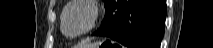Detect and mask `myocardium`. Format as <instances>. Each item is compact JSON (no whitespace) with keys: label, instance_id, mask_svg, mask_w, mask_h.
I'll return each instance as SVG.
<instances>
[{"label":"myocardium","instance_id":"myocardium-1","mask_svg":"<svg viewBox=\"0 0 213 48\" xmlns=\"http://www.w3.org/2000/svg\"><path fill=\"white\" fill-rule=\"evenodd\" d=\"M76 5H84V6L88 7L92 12V18H91L89 26L85 30H83L82 32L69 33L65 30V24H64L65 16H66L67 11L71 7L76 6ZM99 14H100L99 8L94 3V1H91V0H74V1H71V2L68 3V5L63 9V11L61 13V30L67 37H70V38L81 37V36L87 34L88 32H90L96 26L97 21L99 19Z\"/></svg>","mask_w":213,"mask_h":48}]
</instances>
